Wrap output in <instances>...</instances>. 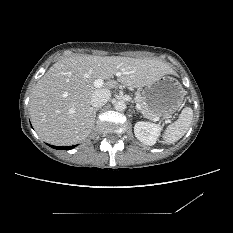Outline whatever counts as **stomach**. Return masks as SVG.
<instances>
[{
  "label": "stomach",
  "mask_w": 233,
  "mask_h": 233,
  "mask_svg": "<svg viewBox=\"0 0 233 233\" xmlns=\"http://www.w3.org/2000/svg\"><path fill=\"white\" fill-rule=\"evenodd\" d=\"M184 96L182 85L171 76L161 77L142 91V97L149 109L160 116L173 114L181 106Z\"/></svg>",
  "instance_id": "1"
}]
</instances>
